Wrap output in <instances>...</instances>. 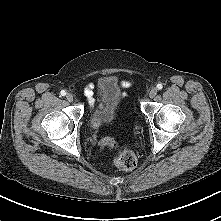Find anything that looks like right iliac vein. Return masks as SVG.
Here are the masks:
<instances>
[{
	"instance_id": "obj_1",
	"label": "right iliac vein",
	"mask_w": 221,
	"mask_h": 221,
	"mask_svg": "<svg viewBox=\"0 0 221 221\" xmlns=\"http://www.w3.org/2000/svg\"><path fill=\"white\" fill-rule=\"evenodd\" d=\"M66 99H67L69 102H72L73 99H74V96H73L71 93H68V94L66 95Z\"/></svg>"
}]
</instances>
